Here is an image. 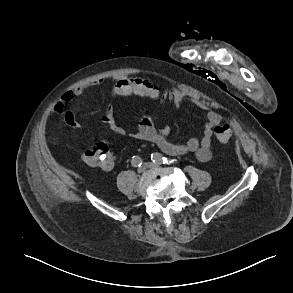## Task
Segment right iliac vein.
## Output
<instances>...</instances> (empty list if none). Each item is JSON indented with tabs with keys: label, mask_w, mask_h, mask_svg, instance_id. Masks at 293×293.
<instances>
[{
	"label": "right iliac vein",
	"mask_w": 293,
	"mask_h": 293,
	"mask_svg": "<svg viewBox=\"0 0 293 293\" xmlns=\"http://www.w3.org/2000/svg\"><path fill=\"white\" fill-rule=\"evenodd\" d=\"M145 171V167L144 166H141L138 168V172L139 173H143Z\"/></svg>",
	"instance_id": "right-iliac-vein-1"
}]
</instances>
